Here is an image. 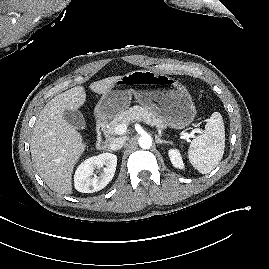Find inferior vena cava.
Instances as JSON below:
<instances>
[{"label": "inferior vena cava", "instance_id": "obj_1", "mask_svg": "<svg viewBox=\"0 0 269 269\" xmlns=\"http://www.w3.org/2000/svg\"><path fill=\"white\" fill-rule=\"evenodd\" d=\"M125 141L126 137L115 138L110 142L109 148L114 151L119 150L123 147Z\"/></svg>", "mask_w": 269, "mask_h": 269}]
</instances>
